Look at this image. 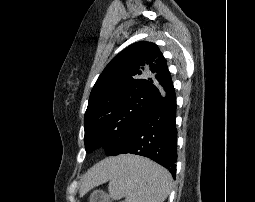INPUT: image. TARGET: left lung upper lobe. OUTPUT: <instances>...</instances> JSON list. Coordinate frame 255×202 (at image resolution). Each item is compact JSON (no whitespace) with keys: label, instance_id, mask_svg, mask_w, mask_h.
I'll use <instances>...</instances> for the list:
<instances>
[{"label":"left lung upper lobe","instance_id":"5c2ea615","mask_svg":"<svg viewBox=\"0 0 255 202\" xmlns=\"http://www.w3.org/2000/svg\"><path fill=\"white\" fill-rule=\"evenodd\" d=\"M174 93L166 60L157 45L141 41L116 55L97 79L84 117L85 149L104 144L118 155L143 119Z\"/></svg>","mask_w":255,"mask_h":202}]
</instances>
